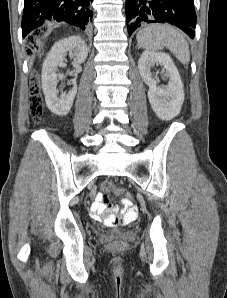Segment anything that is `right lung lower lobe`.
I'll list each match as a JSON object with an SVG mask.
<instances>
[{"label":"right lung lower lobe","instance_id":"98d812e1","mask_svg":"<svg viewBox=\"0 0 227 298\" xmlns=\"http://www.w3.org/2000/svg\"><path fill=\"white\" fill-rule=\"evenodd\" d=\"M92 0H25L22 34L56 23H68L85 30L92 18Z\"/></svg>","mask_w":227,"mask_h":298}]
</instances>
